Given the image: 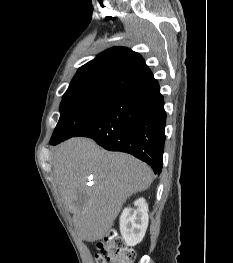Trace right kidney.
<instances>
[{
    "instance_id": "obj_1",
    "label": "right kidney",
    "mask_w": 233,
    "mask_h": 263,
    "mask_svg": "<svg viewBox=\"0 0 233 263\" xmlns=\"http://www.w3.org/2000/svg\"><path fill=\"white\" fill-rule=\"evenodd\" d=\"M136 209L127 207L120 216V232L128 246L140 243L148 226V205L144 198L134 202Z\"/></svg>"
}]
</instances>
